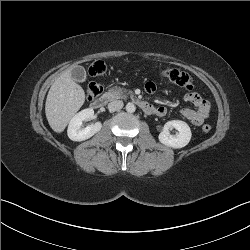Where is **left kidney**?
Masks as SVG:
<instances>
[{"label":"left kidney","instance_id":"5707ae66","mask_svg":"<svg viewBox=\"0 0 250 250\" xmlns=\"http://www.w3.org/2000/svg\"><path fill=\"white\" fill-rule=\"evenodd\" d=\"M175 128L178 130V134L170 135L169 129ZM192 133L190 127L184 121L172 120L168 121L159 134V141L165 146L179 149L185 147L191 139Z\"/></svg>","mask_w":250,"mask_h":250}]
</instances>
